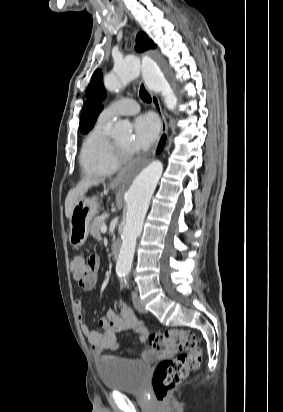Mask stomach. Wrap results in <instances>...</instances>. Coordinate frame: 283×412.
<instances>
[{
    "label": "stomach",
    "instance_id": "stomach-1",
    "mask_svg": "<svg viewBox=\"0 0 283 412\" xmlns=\"http://www.w3.org/2000/svg\"><path fill=\"white\" fill-rule=\"evenodd\" d=\"M98 213V202L95 198H81L75 204L70 217L69 242L74 247L82 246L89 235L90 223Z\"/></svg>",
    "mask_w": 283,
    "mask_h": 412
}]
</instances>
